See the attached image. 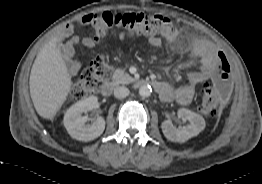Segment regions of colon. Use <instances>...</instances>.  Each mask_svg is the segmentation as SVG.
Here are the masks:
<instances>
[{
  "label": "colon",
  "instance_id": "5ec220e1",
  "mask_svg": "<svg viewBox=\"0 0 262 184\" xmlns=\"http://www.w3.org/2000/svg\"><path fill=\"white\" fill-rule=\"evenodd\" d=\"M81 22L90 25L96 39H102L113 30H121L129 37L162 35L172 29L169 18L157 14L144 13H91ZM112 72L109 58L98 55L80 73L71 90V97L81 100L97 93L110 78ZM232 90L231 68L225 55L218 52L217 75L211 82L203 84L200 90L199 109L210 117L218 115Z\"/></svg>",
  "mask_w": 262,
  "mask_h": 184
}]
</instances>
